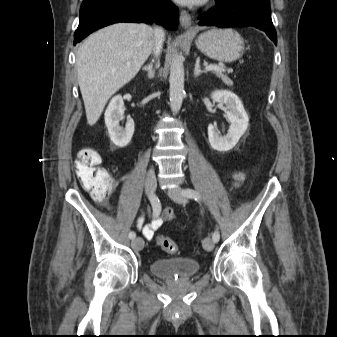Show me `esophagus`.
Returning a JSON list of instances; mask_svg holds the SVG:
<instances>
[{"mask_svg": "<svg viewBox=\"0 0 337 337\" xmlns=\"http://www.w3.org/2000/svg\"><path fill=\"white\" fill-rule=\"evenodd\" d=\"M180 23L183 29L191 30V16L185 10L180 12Z\"/></svg>", "mask_w": 337, "mask_h": 337, "instance_id": "1", "label": "esophagus"}]
</instances>
